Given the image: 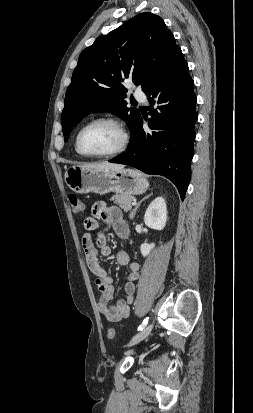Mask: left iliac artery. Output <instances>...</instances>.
I'll use <instances>...</instances> for the list:
<instances>
[{"mask_svg":"<svg viewBox=\"0 0 253 413\" xmlns=\"http://www.w3.org/2000/svg\"><path fill=\"white\" fill-rule=\"evenodd\" d=\"M147 322H148V317L143 320L142 324L138 327V331L143 330L145 328Z\"/></svg>","mask_w":253,"mask_h":413,"instance_id":"44dca946","label":"left iliac artery"}]
</instances>
